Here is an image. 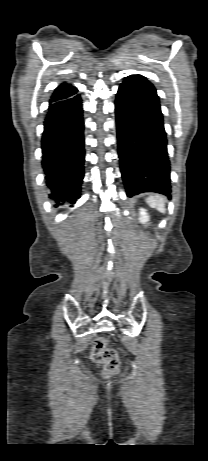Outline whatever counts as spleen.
Listing matches in <instances>:
<instances>
[{"label":"spleen","mask_w":208,"mask_h":461,"mask_svg":"<svg viewBox=\"0 0 208 461\" xmlns=\"http://www.w3.org/2000/svg\"><path fill=\"white\" fill-rule=\"evenodd\" d=\"M146 203L152 208L157 209L161 213L166 212L165 198L161 195L150 196L146 199Z\"/></svg>","instance_id":"spleen-1"}]
</instances>
